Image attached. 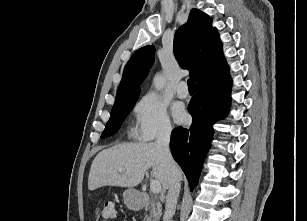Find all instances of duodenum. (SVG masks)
Instances as JSON below:
<instances>
[{
	"mask_svg": "<svg viewBox=\"0 0 307 221\" xmlns=\"http://www.w3.org/2000/svg\"><path fill=\"white\" fill-rule=\"evenodd\" d=\"M148 201V198L146 195L144 194H141V195H138L136 198H135V204H136V207L137 208H140V205L142 203H145Z\"/></svg>",
	"mask_w": 307,
	"mask_h": 221,
	"instance_id": "410a0bca",
	"label": "duodenum"
}]
</instances>
